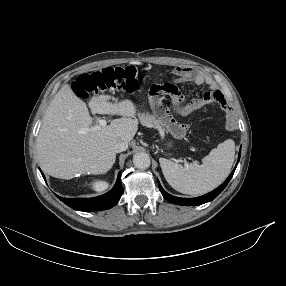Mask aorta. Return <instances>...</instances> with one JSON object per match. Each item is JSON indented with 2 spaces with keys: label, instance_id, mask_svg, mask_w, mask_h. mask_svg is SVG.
<instances>
[{
  "label": "aorta",
  "instance_id": "762f6f07",
  "mask_svg": "<svg viewBox=\"0 0 286 286\" xmlns=\"http://www.w3.org/2000/svg\"><path fill=\"white\" fill-rule=\"evenodd\" d=\"M133 163L138 169H147L150 166V157L144 152L136 153L133 156Z\"/></svg>",
  "mask_w": 286,
  "mask_h": 286
}]
</instances>
